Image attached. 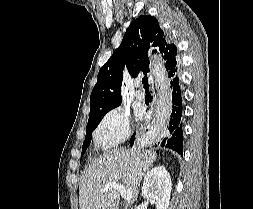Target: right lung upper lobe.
Here are the masks:
<instances>
[{
  "instance_id": "obj_1",
  "label": "right lung upper lobe",
  "mask_w": 253,
  "mask_h": 209,
  "mask_svg": "<svg viewBox=\"0 0 253 209\" xmlns=\"http://www.w3.org/2000/svg\"><path fill=\"white\" fill-rule=\"evenodd\" d=\"M151 47L162 55L168 74L178 69L177 48L157 19L150 15L139 16L127 28L122 43L98 73L90 97L89 118L109 112L121 104L122 70L125 65L132 77L150 71L147 52Z\"/></svg>"
}]
</instances>
